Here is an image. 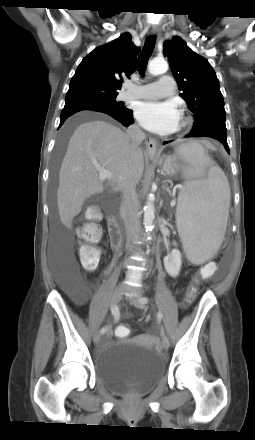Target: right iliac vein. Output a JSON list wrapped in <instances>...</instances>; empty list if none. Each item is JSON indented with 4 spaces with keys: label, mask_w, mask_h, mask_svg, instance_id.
Segmentation results:
<instances>
[{
    "label": "right iliac vein",
    "mask_w": 255,
    "mask_h": 440,
    "mask_svg": "<svg viewBox=\"0 0 255 440\" xmlns=\"http://www.w3.org/2000/svg\"><path fill=\"white\" fill-rule=\"evenodd\" d=\"M121 297H122V289L117 288L111 296V301H110L111 307L115 306L120 301ZM99 340H100V334L96 333L93 337V341L95 344H98Z\"/></svg>",
    "instance_id": "1"
}]
</instances>
